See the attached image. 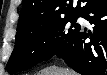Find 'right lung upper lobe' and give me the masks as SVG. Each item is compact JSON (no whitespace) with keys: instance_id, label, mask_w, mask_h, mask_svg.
Wrapping results in <instances>:
<instances>
[{"instance_id":"right-lung-upper-lobe-1","label":"right lung upper lobe","mask_w":107,"mask_h":75,"mask_svg":"<svg viewBox=\"0 0 107 75\" xmlns=\"http://www.w3.org/2000/svg\"><path fill=\"white\" fill-rule=\"evenodd\" d=\"M73 8V0H24L18 27L33 29L68 15L80 14L83 7ZM86 2V1H82Z\"/></svg>"}]
</instances>
